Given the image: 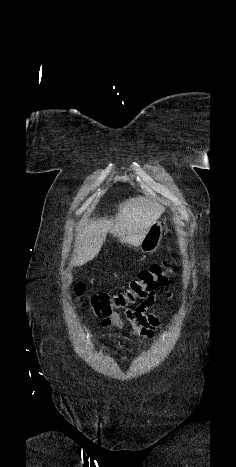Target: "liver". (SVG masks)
Masks as SVG:
<instances>
[{
    "label": "liver",
    "mask_w": 236,
    "mask_h": 467,
    "mask_svg": "<svg viewBox=\"0 0 236 467\" xmlns=\"http://www.w3.org/2000/svg\"><path fill=\"white\" fill-rule=\"evenodd\" d=\"M165 208L145 197L129 198L118 206V212L108 217L87 220L79 228L78 241L71 266H82L94 259L105 242L107 233L121 243L140 246L148 229L157 222Z\"/></svg>",
    "instance_id": "liver-1"
}]
</instances>
